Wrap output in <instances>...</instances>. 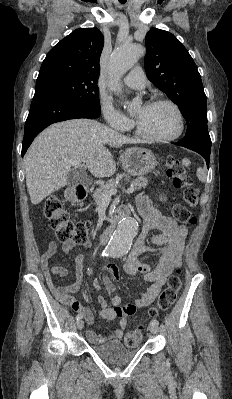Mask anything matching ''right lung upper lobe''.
Returning <instances> with one entry per match:
<instances>
[{"instance_id": "right-lung-upper-lobe-1", "label": "right lung upper lobe", "mask_w": 232, "mask_h": 399, "mask_svg": "<svg viewBox=\"0 0 232 399\" xmlns=\"http://www.w3.org/2000/svg\"><path fill=\"white\" fill-rule=\"evenodd\" d=\"M103 35L97 28H80L55 45L44 59L37 82L67 77L97 83Z\"/></svg>"}]
</instances>
